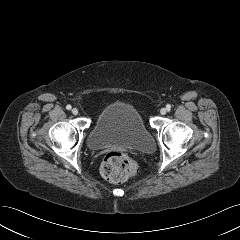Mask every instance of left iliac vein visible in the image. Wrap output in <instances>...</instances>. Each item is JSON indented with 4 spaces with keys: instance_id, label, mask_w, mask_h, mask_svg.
Masks as SVG:
<instances>
[{
    "instance_id": "1",
    "label": "left iliac vein",
    "mask_w": 240,
    "mask_h": 240,
    "mask_svg": "<svg viewBox=\"0 0 240 240\" xmlns=\"http://www.w3.org/2000/svg\"><path fill=\"white\" fill-rule=\"evenodd\" d=\"M160 113H161L162 115H165V114L167 113V109H166V108H161V109H160Z\"/></svg>"
}]
</instances>
